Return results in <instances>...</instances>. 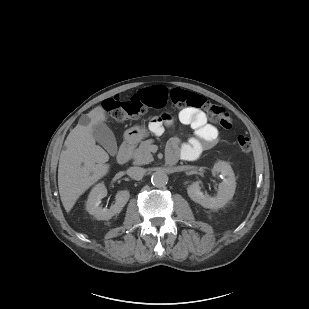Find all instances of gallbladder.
Returning a JSON list of instances; mask_svg holds the SVG:
<instances>
[{
    "label": "gallbladder",
    "mask_w": 309,
    "mask_h": 309,
    "mask_svg": "<svg viewBox=\"0 0 309 309\" xmlns=\"http://www.w3.org/2000/svg\"><path fill=\"white\" fill-rule=\"evenodd\" d=\"M93 137L102 145L109 154H117V143L112 130L104 122H99L93 126Z\"/></svg>",
    "instance_id": "gallbladder-1"
}]
</instances>
